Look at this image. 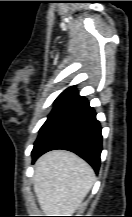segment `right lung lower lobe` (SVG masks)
I'll return each mask as SVG.
<instances>
[{
	"label": "right lung lower lobe",
	"instance_id": "1",
	"mask_svg": "<svg viewBox=\"0 0 132 217\" xmlns=\"http://www.w3.org/2000/svg\"><path fill=\"white\" fill-rule=\"evenodd\" d=\"M55 149L76 153L98 172L102 151L101 127L86 98H76L49 123L34 144L33 162L43 153Z\"/></svg>",
	"mask_w": 132,
	"mask_h": 217
}]
</instances>
